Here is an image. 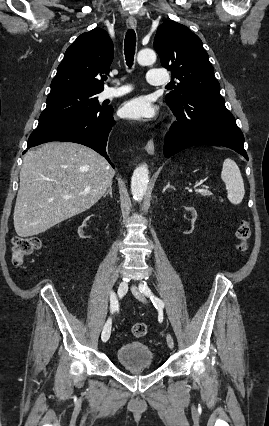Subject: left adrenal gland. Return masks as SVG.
<instances>
[{
    "instance_id": "left-adrenal-gland-1",
    "label": "left adrenal gland",
    "mask_w": 269,
    "mask_h": 426,
    "mask_svg": "<svg viewBox=\"0 0 269 426\" xmlns=\"http://www.w3.org/2000/svg\"><path fill=\"white\" fill-rule=\"evenodd\" d=\"M168 188H171V189L175 190L174 186H171V185H170V182H168V183H167V185L163 188V193H164V192H165Z\"/></svg>"
}]
</instances>
